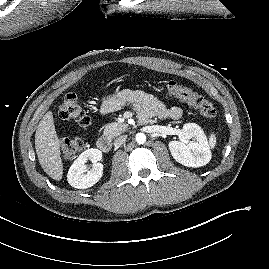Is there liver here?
<instances>
[{"instance_id":"liver-1","label":"liver","mask_w":269,"mask_h":269,"mask_svg":"<svg viewBox=\"0 0 269 269\" xmlns=\"http://www.w3.org/2000/svg\"><path fill=\"white\" fill-rule=\"evenodd\" d=\"M35 149L42 169L54 180H61L63 163L60 157V144L55 130L53 113L48 111L35 134Z\"/></svg>"}]
</instances>
